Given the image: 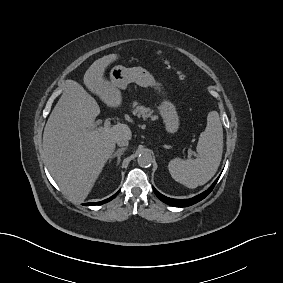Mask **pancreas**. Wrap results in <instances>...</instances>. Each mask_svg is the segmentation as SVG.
Here are the masks:
<instances>
[{"label":"pancreas","instance_id":"obj_1","mask_svg":"<svg viewBox=\"0 0 283 283\" xmlns=\"http://www.w3.org/2000/svg\"><path fill=\"white\" fill-rule=\"evenodd\" d=\"M133 111L132 113L134 115H136L137 117H142L143 119H148V118H151V119H157V116L156 115H153V110L148 108V107H145L143 105H140L139 103L137 102H133Z\"/></svg>","mask_w":283,"mask_h":283}]
</instances>
